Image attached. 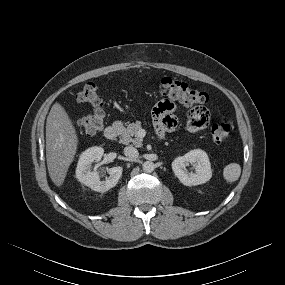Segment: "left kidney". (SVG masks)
<instances>
[{
    "label": "left kidney",
    "mask_w": 285,
    "mask_h": 285,
    "mask_svg": "<svg viewBox=\"0 0 285 285\" xmlns=\"http://www.w3.org/2000/svg\"><path fill=\"white\" fill-rule=\"evenodd\" d=\"M189 163L195 165V173L186 169ZM172 170L180 182L186 186L204 184L212 177L208 155L201 149L191 150L185 155L177 157L172 162Z\"/></svg>",
    "instance_id": "1"
}]
</instances>
